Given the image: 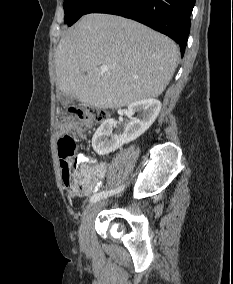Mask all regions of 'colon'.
Listing matches in <instances>:
<instances>
[{
  "instance_id": "5ec220e1",
  "label": "colon",
  "mask_w": 233,
  "mask_h": 284,
  "mask_svg": "<svg viewBox=\"0 0 233 284\" xmlns=\"http://www.w3.org/2000/svg\"><path fill=\"white\" fill-rule=\"evenodd\" d=\"M70 112L78 119L80 125L86 129L95 128L103 122L108 113L104 109L74 105ZM76 144L70 135L60 139L59 162L63 182L67 190L73 194H88L92 188V177L83 172L75 160Z\"/></svg>"
}]
</instances>
